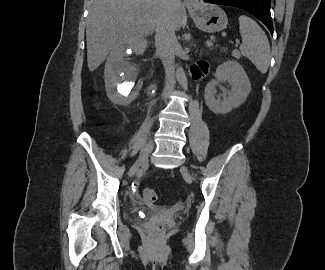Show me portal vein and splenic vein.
<instances>
[{
    "label": "portal vein and splenic vein",
    "mask_w": 325,
    "mask_h": 270,
    "mask_svg": "<svg viewBox=\"0 0 325 270\" xmlns=\"http://www.w3.org/2000/svg\"><path fill=\"white\" fill-rule=\"evenodd\" d=\"M206 44H207V46H211V45H212L211 41H207ZM238 44H239V41L237 40V41H236V45H238Z\"/></svg>",
    "instance_id": "obj_1"
}]
</instances>
